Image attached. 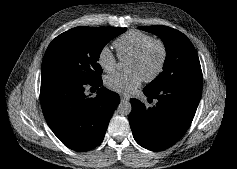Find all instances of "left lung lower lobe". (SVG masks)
I'll return each mask as SVG.
<instances>
[{"label":"left lung lower lobe","mask_w":237,"mask_h":169,"mask_svg":"<svg viewBox=\"0 0 237 169\" xmlns=\"http://www.w3.org/2000/svg\"><path fill=\"white\" fill-rule=\"evenodd\" d=\"M148 100L158 102L152 108L131 99L130 127L136 142L152 151L175 144L189 128L202 92V82H183L147 90Z\"/></svg>","instance_id":"obj_1"}]
</instances>
